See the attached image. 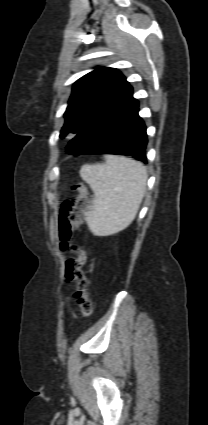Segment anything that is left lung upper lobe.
Instances as JSON below:
<instances>
[{"label": "left lung upper lobe", "instance_id": "left-lung-upper-lobe-1", "mask_svg": "<svg viewBox=\"0 0 208 425\" xmlns=\"http://www.w3.org/2000/svg\"><path fill=\"white\" fill-rule=\"evenodd\" d=\"M128 86L123 74L109 67H98L77 80L64 113L66 121L60 137L78 134ZM66 149L69 154L80 155L81 147L74 138Z\"/></svg>", "mask_w": 208, "mask_h": 425}]
</instances>
